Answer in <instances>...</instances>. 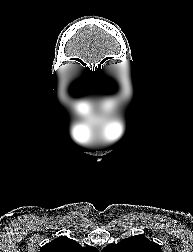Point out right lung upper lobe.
Returning <instances> with one entry per match:
<instances>
[{"label":"right lung upper lobe","instance_id":"1","mask_svg":"<svg viewBox=\"0 0 193 252\" xmlns=\"http://www.w3.org/2000/svg\"><path fill=\"white\" fill-rule=\"evenodd\" d=\"M40 252H99L95 247H82L79 243L65 236L56 238L55 240L44 245Z\"/></svg>","mask_w":193,"mask_h":252}]
</instances>
